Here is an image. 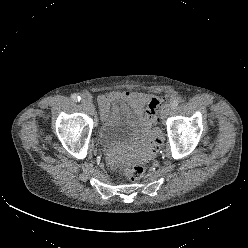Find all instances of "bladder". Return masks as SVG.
Here are the masks:
<instances>
[{
	"label": "bladder",
	"instance_id": "31cf9c89",
	"mask_svg": "<svg viewBox=\"0 0 248 248\" xmlns=\"http://www.w3.org/2000/svg\"><path fill=\"white\" fill-rule=\"evenodd\" d=\"M140 129L139 116L128 104L119 102L103 120L98 130V142L104 147L129 142L138 136Z\"/></svg>",
	"mask_w": 248,
	"mask_h": 248
}]
</instances>
